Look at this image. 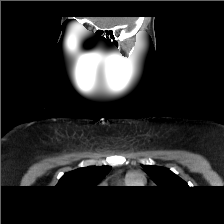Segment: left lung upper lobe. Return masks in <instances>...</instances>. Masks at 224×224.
<instances>
[{"label":"left lung upper lobe","instance_id":"5c2ea615","mask_svg":"<svg viewBox=\"0 0 224 224\" xmlns=\"http://www.w3.org/2000/svg\"><path fill=\"white\" fill-rule=\"evenodd\" d=\"M143 168L160 188L180 189L188 187L185 181H183L169 169L151 165H143Z\"/></svg>","mask_w":224,"mask_h":224}]
</instances>
